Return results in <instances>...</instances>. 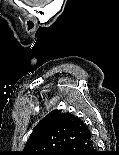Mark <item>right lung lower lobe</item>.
Masks as SVG:
<instances>
[{"instance_id": "1", "label": "right lung lower lobe", "mask_w": 119, "mask_h": 155, "mask_svg": "<svg viewBox=\"0 0 119 155\" xmlns=\"http://www.w3.org/2000/svg\"><path fill=\"white\" fill-rule=\"evenodd\" d=\"M95 144L91 133H85L81 138L71 143L61 155H95Z\"/></svg>"}]
</instances>
